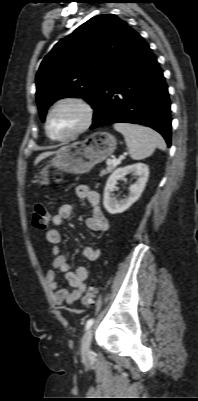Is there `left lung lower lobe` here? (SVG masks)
<instances>
[{
    "label": "left lung lower lobe",
    "mask_w": 198,
    "mask_h": 401,
    "mask_svg": "<svg viewBox=\"0 0 198 401\" xmlns=\"http://www.w3.org/2000/svg\"><path fill=\"white\" fill-rule=\"evenodd\" d=\"M94 110L90 129L118 122L141 124L171 145L167 85L155 55L138 33L106 79Z\"/></svg>",
    "instance_id": "0a47b994"
}]
</instances>
